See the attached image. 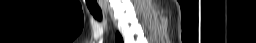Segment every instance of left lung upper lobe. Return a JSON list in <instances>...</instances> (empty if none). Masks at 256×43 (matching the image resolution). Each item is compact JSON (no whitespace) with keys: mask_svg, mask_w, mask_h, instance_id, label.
Instances as JSON below:
<instances>
[{"mask_svg":"<svg viewBox=\"0 0 256 43\" xmlns=\"http://www.w3.org/2000/svg\"><path fill=\"white\" fill-rule=\"evenodd\" d=\"M116 42L117 43H123L122 37L119 33L116 34Z\"/></svg>","mask_w":256,"mask_h":43,"instance_id":"obj_1","label":"left lung upper lobe"}]
</instances>
